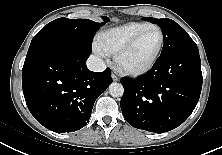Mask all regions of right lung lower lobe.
<instances>
[{
    "label": "right lung lower lobe",
    "instance_id": "1",
    "mask_svg": "<svg viewBox=\"0 0 222 155\" xmlns=\"http://www.w3.org/2000/svg\"><path fill=\"white\" fill-rule=\"evenodd\" d=\"M91 50L58 48L24 62L22 86L35 119L54 132H74L89 122L96 98L112 83L111 71L86 66Z\"/></svg>",
    "mask_w": 222,
    "mask_h": 155
}]
</instances>
